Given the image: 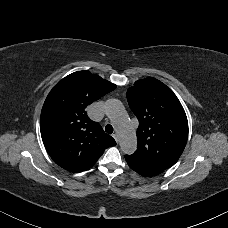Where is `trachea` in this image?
Wrapping results in <instances>:
<instances>
[{
	"label": "trachea",
	"mask_w": 228,
	"mask_h": 228,
	"mask_svg": "<svg viewBox=\"0 0 228 228\" xmlns=\"http://www.w3.org/2000/svg\"><path fill=\"white\" fill-rule=\"evenodd\" d=\"M105 131L108 133V134H112L113 133V126L111 124H107L105 126Z\"/></svg>",
	"instance_id": "obj_1"
}]
</instances>
